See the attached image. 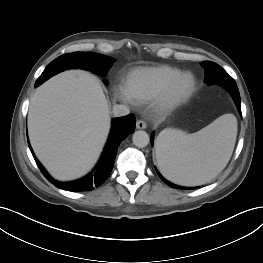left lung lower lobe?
<instances>
[{
    "label": "left lung lower lobe",
    "instance_id": "0a47b994",
    "mask_svg": "<svg viewBox=\"0 0 263 263\" xmlns=\"http://www.w3.org/2000/svg\"><path fill=\"white\" fill-rule=\"evenodd\" d=\"M202 65L205 67V72H206L205 82L208 84H213L212 81H213L214 74L218 72L219 70H221V67L214 62H208V61L202 62ZM221 85L224 86L232 94L235 104L241 114L240 94H239V90L236 85V82H225L224 84H221ZM151 143L153 144V135L151 136ZM157 174L166 184H168L172 188L184 189V190H191V189L197 188V187H181V186L169 183L167 180H165L161 176V174L158 171H157Z\"/></svg>",
    "mask_w": 263,
    "mask_h": 263
}]
</instances>
